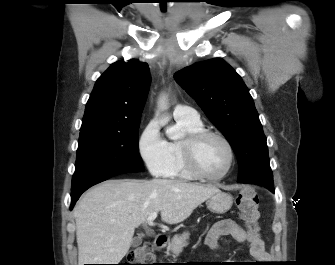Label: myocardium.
<instances>
[{"mask_svg":"<svg viewBox=\"0 0 335 265\" xmlns=\"http://www.w3.org/2000/svg\"><path fill=\"white\" fill-rule=\"evenodd\" d=\"M211 137L217 138L220 141H222L225 144L228 150V153H229V161H228L226 168L221 174L216 175V176H210V175L205 174L200 169L198 162H197L198 148L200 147L203 141ZM182 151H183L184 163H185L187 170L195 178H198L204 181L216 182V181L222 180L229 174V172L232 170L234 163H235V150H234L232 143L223 134L213 131V130L203 129V130L188 134L186 138L182 140Z\"/></svg>","mask_w":335,"mask_h":265,"instance_id":"1","label":"myocardium"}]
</instances>
